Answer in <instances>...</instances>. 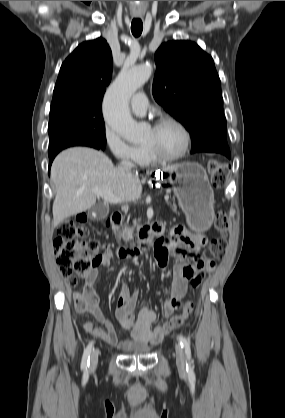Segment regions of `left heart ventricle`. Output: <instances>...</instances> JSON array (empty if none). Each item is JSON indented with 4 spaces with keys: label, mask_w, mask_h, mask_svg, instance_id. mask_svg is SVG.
<instances>
[{
    "label": "left heart ventricle",
    "mask_w": 285,
    "mask_h": 418,
    "mask_svg": "<svg viewBox=\"0 0 285 418\" xmlns=\"http://www.w3.org/2000/svg\"><path fill=\"white\" fill-rule=\"evenodd\" d=\"M184 142L183 134L176 126L167 124L159 129H149L143 145L152 147L163 156H174L180 152Z\"/></svg>",
    "instance_id": "obj_1"
}]
</instances>
